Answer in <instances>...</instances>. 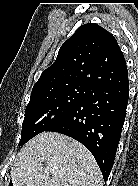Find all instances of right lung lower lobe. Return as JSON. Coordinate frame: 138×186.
I'll return each instance as SVG.
<instances>
[{
	"mask_svg": "<svg viewBox=\"0 0 138 186\" xmlns=\"http://www.w3.org/2000/svg\"><path fill=\"white\" fill-rule=\"evenodd\" d=\"M128 97V81L118 86L89 88L84 100L46 131L65 134L86 146L107 181L120 140Z\"/></svg>",
	"mask_w": 138,
	"mask_h": 186,
	"instance_id": "obj_1",
	"label": "right lung lower lobe"
}]
</instances>
